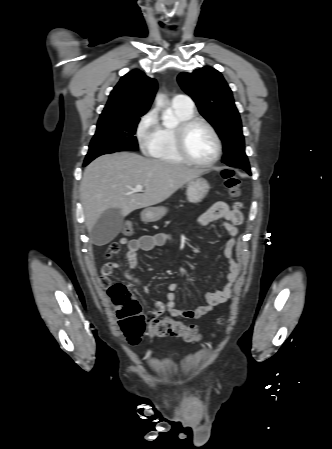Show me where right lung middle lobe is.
I'll return each mask as SVG.
<instances>
[{"mask_svg": "<svg viewBox=\"0 0 332 449\" xmlns=\"http://www.w3.org/2000/svg\"><path fill=\"white\" fill-rule=\"evenodd\" d=\"M142 115L100 116L84 163L88 164L103 154L126 150L137 151L138 143L135 133Z\"/></svg>", "mask_w": 332, "mask_h": 449, "instance_id": "dd1d6c3e", "label": "right lung middle lobe"}]
</instances>
